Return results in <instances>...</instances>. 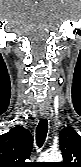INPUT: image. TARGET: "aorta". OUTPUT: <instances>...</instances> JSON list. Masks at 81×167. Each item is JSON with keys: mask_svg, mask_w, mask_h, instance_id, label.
<instances>
[{"mask_svg": "<svg viewBox=\"0 0 81 167\" xmlns=\"http://www.w3.org/2000/svg\"><path fill=\"white\" fill-rule=\"evenodd\" d=\"M40 162H60L62 155L58 151H46L39 157Z\"/></svg>", "mask_w": 81, "mask_h": 167, "instance_id": "1", "label": "aorta"}]
</instances>
